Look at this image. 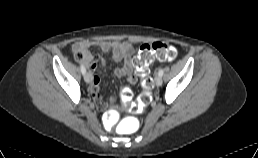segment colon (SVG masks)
I'll list each match as a JSON object with an SVG mask.
<instances>
[{
	"mask_svg": "<svg viewBox=\"0 0 258 158\" xmlns=\"http://www.w3.org/2000/svg\"><path fill=\"white\" fill-rule=\"evenodd\" d=\"M177 56L176 48L167 42H154L151 44H143L140 46L137 56L133 60L137 74L141 78V87L142 92L139 96V99L136 103L131 102V92L128 89H125L121 94L122 100L125 104V107L131 113H141L151 101V90H152V79L149 75V64L154 60L160 61H171L174 60ZM85 53L83 51H76L75 58L84 62ZM112 113H108L107 118L110 119L113 123H116L117 116L114 110H111Z\"/></svg>",
	"mask_w": 258,
	"mask_h": 158,
	"instance_id": "obj_1",
	"label": "colon"
}]
</instances>
